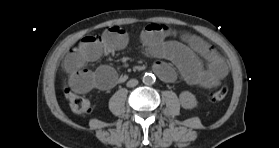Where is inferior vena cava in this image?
Returning a JSON list of instances; mask_svg holds the SVG:
<instances>
[{
  "mask_svg": "<svg viewBox=\"0 0 279 148\" xmlns=\"http://www.w3.org/2000/svg\"><path fill=\"white\" fill-rule=\"evenodd\" d=\"M138 84V80L137 79H130L127 82V87H135Z\"/></svg>",
  "mask_w": 279,
  "mask_h": 148,
  "instance_id": "1",
  "label": "inferior vena cava"
}]
</instances>
